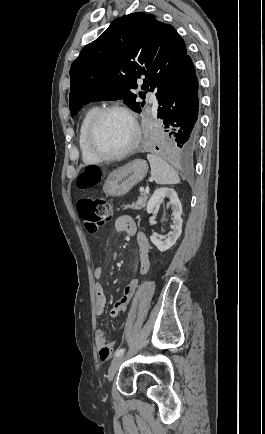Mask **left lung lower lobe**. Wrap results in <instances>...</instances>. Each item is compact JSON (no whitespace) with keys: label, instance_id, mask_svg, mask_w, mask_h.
I'll return each mask as SVG.
<instances>
[{"label":"left lung lower lobe","instance_id":"left-lung-lower-lobe-1","mask_svg":"<svg viewBox=\"0 0 265 434\" xmlns=\"http://www.w3.org/2000/svg\"><path fill=\"white\" fill-rule=\"evenodd\" d=\"M198 79L190 56L186 58L158 98V118L163 119L169 141H156L150 148L160 154H190L198 145Z\"/></svg>","mask_w":265,"mask_h":434}]
</instances>
